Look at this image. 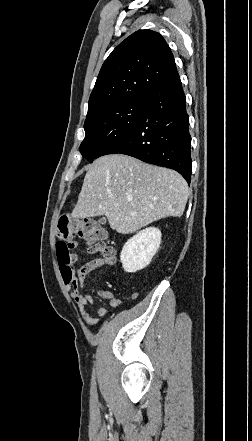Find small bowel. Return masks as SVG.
<instances>
[{
    "mask_svg": "<svg viewBox=\"0 0 252 441\" xmlns=\"http://www.w3.org/2000/svg\"><path fill=\"white\" fill-rule=\"evenodd\" d=\"M78 247L79 244L77 242H72V249H77ZM98 252L99 256L82 266L77 277H74L70 281L64 279L66 286L68 288H73L72 298L76 302L83 320L88 326L97 325L99 323L98 317H105L108 312L103 307L96 308L93 314L87 310V307L93 305L95 300L86 292V283L92 280L96 271L104 267L112 266L115 263V254L112 247L104 246V248ZM75 259L76 256H74V261ZM97 293L100 297L107 300L113 307H118L120 305L119 299L111 291L98 288Z\"/></svg>",
    "mask_w": 252,
    "mask_h": 441,
    "instance_id": "small-bowel-1",
    "label": "small bowel"
}]
</instances>
